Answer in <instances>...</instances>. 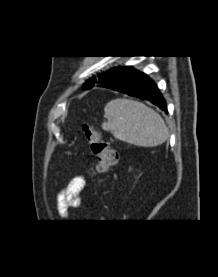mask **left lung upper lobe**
Here are the masks:
<instances>
[{
  "label": "left lung upper lobe",
  "instance_id": "obj_1",
  "mask_svg": "<svg viewBox=\"0 0 218 277\" xmlns=\"http://www.w3.org/2000/svg\"><path fill=\"white\" fill-rule=\"evenodd\" d=\"M122 69L121 66L119 67H115V68H112V69H109L107 71H104V72H101V73H98L95 77H92L90 78L89 80H87L85 82V84H83L84 88L86 90L92 88L95 84H100L102 83L106 78H108L112 73L118 71Z\"/></svg>",
  "mask_w": 218,
  "mask_h": 277
}]
</instances>
